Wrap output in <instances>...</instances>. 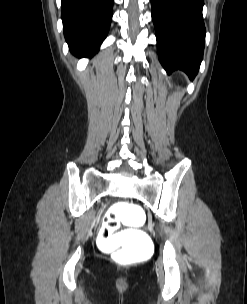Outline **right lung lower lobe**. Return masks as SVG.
<instances>
[{"mask_svg":"<svg viewBox=\"0 0 247 304\" xmlns=\"http://www.w3.org/2000/svg\"><path fill=\"white\" fill-rule=\"evenodd\" d=\"M114 0H62L65 39L72 54L92 57L106 38Z\"/></svg>","mask_w":247,"mask_h":304,"instance_id":"obj_1","label":"right lung lower lobe"}]
</instances>
